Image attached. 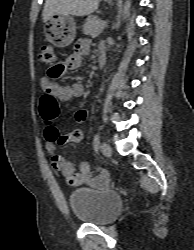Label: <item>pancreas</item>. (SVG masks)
I'll use <instances>...</instances> for the list:
<instances>
[{
  "mask_svg": "<svg viewBox=\"0 0 194 250\" xmlns=\"http://www.w3.org/2000/svg\"><path fill=\"white\" fill-rule=\"evenodd\" d=\"M102 24L103 21H101L97 16H90L86 19L83 25V32L85 35L97 36L106 27V24Z\"/></svg>",
  "mask_w": 194,
  "mask_h": 250,
  "instance_id": "cf45deb5",
  "label": "pancreas"
}]
</instances>
